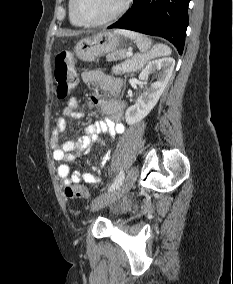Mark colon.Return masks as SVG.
I'll use <instances>...</instances> for the list:
<instances>
[{"mask_svg": "<svg viewBox=\"0 0 233 284\" xmlns=\"http://www.w3.org/2000/svg\"><path fill=\"white\" fill-rule=\"evenodd\" d=\"M170 48L165 44H156L149 51L134 55L115 68L117 73H130L141 69L152 59L167 57ZM56 94L59 100H64L75 88L78 76L73 66V55L69 51L59 52L55 57ZM69 198H89L90 193L84 186H69L65 189Z\"/></svg>", "mask_w": 233, "mask_h": 284, "instance_id": "5ec220e1", "label": "colon"}]
</instances>
